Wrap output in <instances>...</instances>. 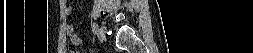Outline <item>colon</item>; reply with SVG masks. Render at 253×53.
Segmentation results:
<instances>
[{
    "label": "colon",
    "mask_w": 253,
    "mask_h": 53,
    "mask_svg": "<svg viewBox=\"0 0 253 53\" xmlns=\"http://www.w3.org/2000/svg\"><path fill=\"white\" fill-rule=\"evenodd\" d=\"M70 53H76V51L75 50H70Z\"/></svg>",
    "instance_id": "colon-1"
}]
</instances>
